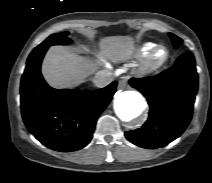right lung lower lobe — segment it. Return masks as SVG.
Here are the masks:
<instances>
[{"instance_id": "right-lung-lower-lobe-1", "label": "right lung lower lobe", "mask_w": 212, "mask_h": 183, "mask_svg": "<svg viewBox=\"0 0 212 183\" xmlns=\"http://www.w3.org/2000/svg\"><path fill=\"white\" fill-rule=\"evenodd\" d=\"M49 46L30 54L21 79V111L27 129L45 146L70 152L91 140L96 121L111 101L117 82L98 90H58L44 81L40 66Z\"/></svg>"}]
</instances>
